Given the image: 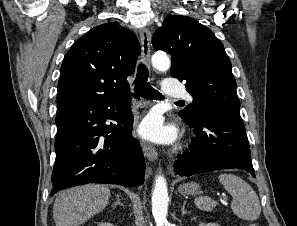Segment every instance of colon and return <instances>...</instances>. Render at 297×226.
Returning <instances> with one entry per match:
<instances>
[{
  "mask_svg": "<svg viewBox=\"0 0 297 226\" xmlns=\"http://www.w3.org/2000/svg\"><path fill=\"white\" fill-rule=\"evenodd\" d=\"M248 226H258V225L255 223H250Z\"/></svg>",
  "mask_w": 297,
  "mask_h": 226,
  "instance_id": "obj_1",
  "label": "colon"
}]
</instances>
